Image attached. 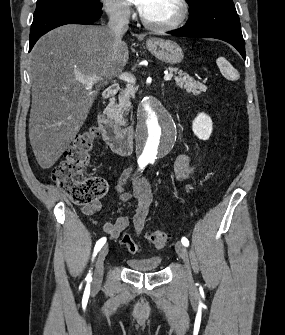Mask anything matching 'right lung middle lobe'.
<instances>
[{
	"mask_svg": "<svg viewBox=\"0 0 285 335\" xmlns=\"http://www.w3.org/2000/svg\"><path fill=\"white\" fill-rule=\"evenodd\" d=\"M78 7L100 11L102 5L99 0H37L34 15H38L56 7Z\"/></svg>",
	"mask_w": 285,
	"mask_h": 335,
	"instance_id": "obj_1",
	"label": "right lung middle lobe"
}]
</instances>
